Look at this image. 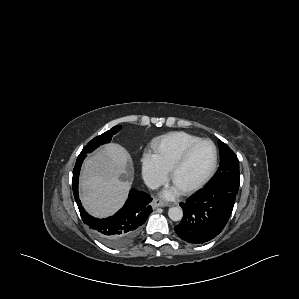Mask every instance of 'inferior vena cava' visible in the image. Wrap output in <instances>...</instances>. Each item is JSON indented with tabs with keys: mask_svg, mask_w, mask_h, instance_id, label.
<instances>
[{
	"mask_svg": "<svg viewBox=\"0 0 299 299\" xmlns=\"http://www.w3.org/2000/svg\"><path fill=\"white\" fill-rule=\"evenodd\" d=\"M145 184L150 188V189H157L160 186V183L155 180L154 178L151 177H146L144 178Z\"/></svg>",
	"mask_w": 299,
	"mask_h": 299,
	"instance_id": "inferior-vena-cava-1",
	"label": "inferior vena cava"
}]
</instances>
